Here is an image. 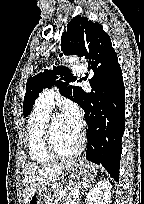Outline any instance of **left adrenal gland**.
Wrapping results in <instances>:
<instances>
[{
    "label": "left adrenal gland",
    "mask_w": 144,
    "mask_h": 204,
    "mask_svg": "<svg viewBox=\"0 0 144 204\" xmlns=\"http://www.w3.org/2000/svg\"><path fill=\"white\" fill-rule=\"evenodd\" d=\"M82 198V196L79 198V200ZM79 200H78V202H79Z\"/></svg>",
    "instance_id": "1"
}]
</instances>
